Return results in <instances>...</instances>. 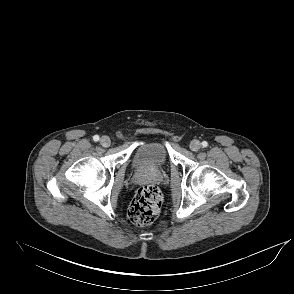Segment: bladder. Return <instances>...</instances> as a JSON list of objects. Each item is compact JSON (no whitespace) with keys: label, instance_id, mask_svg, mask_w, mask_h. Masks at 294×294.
I'll use <instances>...</instances> for the list:
<instances>
[{"label":"bladder","instance_id":"1","mask_svg":"<svg viewBox=\"0 0 294 294\" xmlns=\"http://www.w3.org/2000/svg\"><path fill=\"white\" fill-rule=\"evenodd\" d=\"M169 159V154L161 142L150 141L141 144L134 155L133 165L136 170L163 168Z\"/></svg>","mask_w":294,"mask_h":294}]
</instances>
